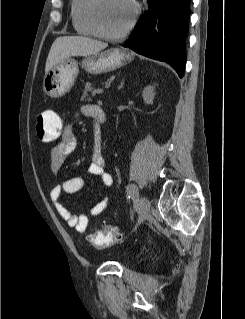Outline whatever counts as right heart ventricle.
I'll use <instances>...</instances> for the list:
<instances>
[{
    "label": "right heart ventricle",
    "mask_w": 245,
    "mask_h": 319,
    "mask_svg": "<svg viewBox=\"0 0 245 319\" xmlns=\"http://www.w3.org/2000/svg\"><path fill=\"white\" fill-rule=\"evenodd\" d=\"M89 4L90 0H71L70 17L73 28L78 34L95 36V30L92 27L88 16Z\"/></svg>",
    "instance_id": "obj_1"
}]
</instances>
